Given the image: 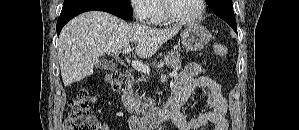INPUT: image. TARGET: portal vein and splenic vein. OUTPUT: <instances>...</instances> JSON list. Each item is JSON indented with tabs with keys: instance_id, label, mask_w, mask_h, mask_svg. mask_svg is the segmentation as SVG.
<instances>
[{
	"instance_id": "18ae733b",
	"label": "portal vein and splenic vein",
	"mask_w": 299,
	"mask_h": 130,
	"mask_svg": "<svg viewBox=\"0 0 299 130\" xmlns=\"http://www.w3.org/2000/svg\"><path fill=\"white\" fill-rule=\"evenodd\" d=\"M131 51V46L127 45L124 47L123 53H129ZM132 67L135 70L144 72V73H149L150 69L147 65H144L143 63L139 62V61H132ZM177 75V70L173 71L170 73V77H175Z\"/></svg>"
}]
</instances>
